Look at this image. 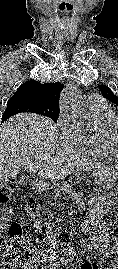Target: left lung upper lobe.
<instances>
[{"label":"left lung upper lobe","instance_id":"left-lung-upper-lobe-1","mask_svg":"<svg viewBox=\"0 0 118 269\" xmlns=\"http://www.w3.org/2000/svg\"><path fill=\"white\" fill-rule=\"evenodd\" d=\"M98 87L102 91L105 98L118 105V96L113 94L110 88H108L106 85H98Z\"/></svg>","mask_w":118,"mask_h":269}]
</instances>
